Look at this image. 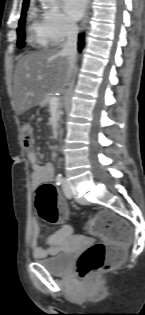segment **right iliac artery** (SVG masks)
<instances>
[{
  "instance_id": "82829eb1",
  "label": "right iliac artery",
  "mask_w": 145,
  "mask_h": 315,
  "mask_svg": "<svg viewBox=\"0 0 145 315\" xmlns=\"http://www.w3.org/2000/svg\"><path fill=\"white\" fill-rule=\"evenodd\" d=\"M64 182V177L62 176V174H58L56 177V183L57 185H61Z\"/></svg>"
}]
</instances>
